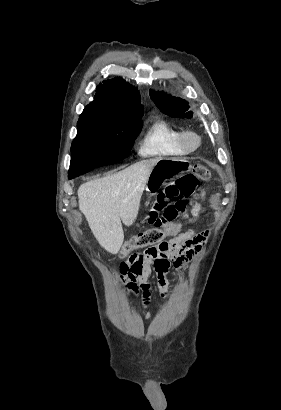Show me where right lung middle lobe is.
<instances>
[{
	"label": "right lung middle lobe",
	"mask_w": 281,
	"mask_h": 410,
	"mask_svg": "<svg viewBox=\"0 0 281 410\" xmlns=\"http://www.w3.org/2000/svg\"><path fill=\"white\" fill-rule=\"evenodd\" d=\"M141 117L106 119L83 112L71 147L69 177L125 159L141 131Z\"/></svg>",
	"instance_id": "right-lung-middle-lobe-1"
}]
</instances>
